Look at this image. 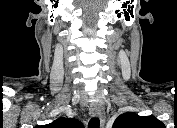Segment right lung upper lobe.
Listing matches in <instances>:
<instances>
[{
	"instance_id": "cb5924a9",
	"label": "right lung upper lobe",
	"mask_w": 177,
	"mask_h": 128,
	"mask_svg": "<svg viewBox=\"0 0 177 128\" xmlns=\"http://www.w3.org/2000/svg\"><path fill=\"white\" fill-rule=\"evenodd\" d=\"M50 128H82L83 124L74 118L60 117L49 124Z\"/></svg>"
}]
</instances>
